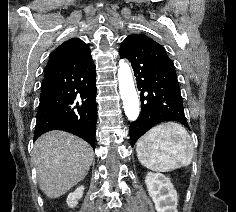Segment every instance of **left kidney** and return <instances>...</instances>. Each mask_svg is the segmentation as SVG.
Wrapping results in <instances>:
<instances>
[{"label": "left kidney", "instance_id": "left-kidney-1", "mask_svg": "<svg viewBox=\"0 0 236 212\" xmlns=\"http://www.w3.org/2000/svg\"><path fill=\"white\" fill-rule=\"evenodd\" d=\"M145 183L157 212H177V192L168 177L161 173L149 172Z\"/></svg>", "mask_w": 236, "mask_h": 212}]
</instances>
